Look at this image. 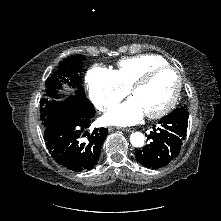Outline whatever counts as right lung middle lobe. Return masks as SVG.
I'll return each instance as SVG.
<instances>
[{
    "label": "right lung middle lobe",
    "instance_id": "1",
    "mask_svg": "<svg viewBox=\"0 0 221 221\" xmlns=\"http://www.w3.org/2000/svg\"><path fill=\"white\" fill-rule=\"evenodd\" d=\"M85 57L72 55L63 60L55 73L45 82L44 97L40 101V119L42 123L50 116L69 110H91L92 103L85 97L81 85L80 70ZM62 86L73 88L74 95L60 99L59 90Z\"/></svg>",
    "mask_w": 221,
    "mask_h": 221
}]
</instances>
